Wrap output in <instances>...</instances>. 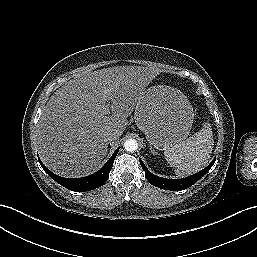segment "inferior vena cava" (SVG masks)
I'll use <instances>...</instances> for the list:
<instances>
[{
    "instance_id": "1",
    "label": "inferior vena cava",
    "mask_w": 257,
    "mask_h": 257,
    "mask_svg": "<svg viewBox=\"0 0 257 257\" xmlns=\"http://www.w3.org/2000/svg\"><path fill=\"white\" fill-rule=\"evenodd\" d=\"M104 138L107 141L112 142V141H116L119 138V136L115 132L108 131L104 133Z\"/></svg>"
}]
</instances>
